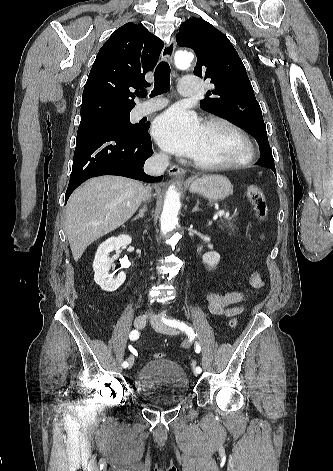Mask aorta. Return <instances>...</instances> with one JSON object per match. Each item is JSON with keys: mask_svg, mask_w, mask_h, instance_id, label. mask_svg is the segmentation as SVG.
I'll return each instance as SVG.
<instances>
[{"mask_svg": "<svg viewBox=\"0 0 333 471\" xmlns=\"http://www.w3.org/2000/svg\"><path fill=\"white\" fill-rule=\"evenodd\" d=\"M193 55L189 52H178L175 56V64L178 68L185 69L190 66ZM180 196L174 185L170 186L166 192L163 211L160 217L161 232L166 235L175 229L178 224V212L180 210Z\"/></svg>", "mask_w": 333, "mask_h": 471, "instance_id": "762f6f07", "label": "aorta"}]
</instances>
